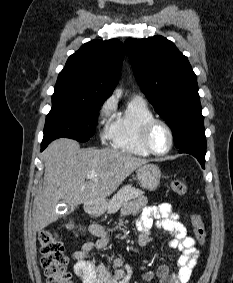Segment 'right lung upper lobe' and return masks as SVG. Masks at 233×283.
<instances>
[{"label": "right lung upper lobe", "instance_id": "cb5924a9", "mask_svg": "<svg viewBox=\"0 0 233 283\" xmlns=\"http://www.w3.org/2000/svg\"><path fill=\"white\" fill-rule=\"evenodd\" d=\"M123 57V44L118 39L85 43L68 58L55 89L104 102L118 82Z\"/></svg>", "mask_w": 233, "mask_h": 283}]
</instances>
